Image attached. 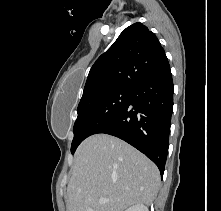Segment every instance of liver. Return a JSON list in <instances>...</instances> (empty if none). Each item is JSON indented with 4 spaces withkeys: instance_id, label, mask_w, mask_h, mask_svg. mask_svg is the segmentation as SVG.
Here are the masks:
<instances>
[{
    "instance_id": "liver-1",
    "label": "liver",
    "mask_w": 221,
    "mask_h": 211,
    "mask_svg": "<svg viewBox=\"0 0 221 211\" xmlns=\"http://www.w3.org/2000/svg\"><path fill=\"white\" fill-rule=\"evenodd\" d=\"M159 186V170L145 155L119 138L95 134L76 150L67 187L69 211H124L132 205H150ZM100 198L109 201L100 204Z\"/></svg>"
}]
</instances>
